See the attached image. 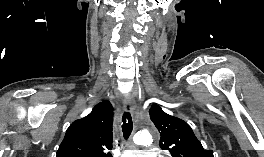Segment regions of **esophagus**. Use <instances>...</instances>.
Masks as SVG:
<instances>
[{
	"label": "esophagus",
	"instance_id": "1",
	"mask_svg": "<svg viewBox=\"0 0 264 157\" xmlns=\"http://www.w3.org/2000/svg\"><path fill=\"white\" fill-rule=\"evenodd\" d=\"M126 106L131 113L135 112V102L131 97H127L125 100Z\"/></svg>",
	"mask_w": 264,
	"mask_h": 157
}]
</instances>
